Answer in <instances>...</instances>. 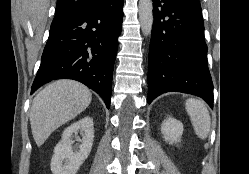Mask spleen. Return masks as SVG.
I'll list each match as a JSON object with an SVG mask.
<instances>
[{
    "mask_svg": "<svg viewBox=\"0 0 249 174\" xmlns=\"http://www.w3.org/2000/svg\"><path fill=\"white\" fill-rule=\"evenodd\" d=\"M185 108L190 116L196 135L200 139L207 138L210 132L211 118L206 105L198 99H187Z\"/></svg>",
    "mask_w": 249,
    "mask_h": 174,
    "instance_id": "obj_1",
    "label": "spleen"
}]
</instances>
